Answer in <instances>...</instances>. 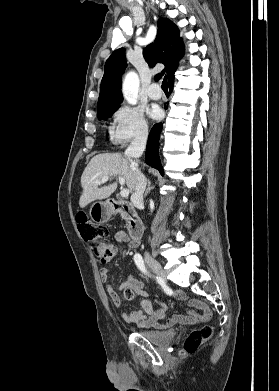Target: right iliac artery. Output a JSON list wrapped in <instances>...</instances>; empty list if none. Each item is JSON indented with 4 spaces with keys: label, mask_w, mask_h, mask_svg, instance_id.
Masks as SVG:
<instances>
[{
    "label": "right iliac artery",
    "mask_w": 279,
    "mask_h": 391,
    "mask_svg": "<svg viewBox=\"0 0 279 391\" xmlns=\"http://www.w3.org/2000/svg\"><path fill=\"white\" fill-rule=\"evenodd\" d=\"M134 261L137 265V267L140 269V271H142L144 274L150 276L145 264H144V261L142 259V256L139 254V253H136L134 255Z\"/></svg>",
    "instance_id": "obj_1"
}]
</instances>
